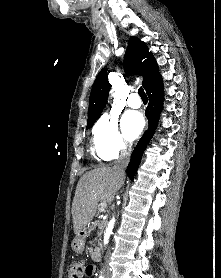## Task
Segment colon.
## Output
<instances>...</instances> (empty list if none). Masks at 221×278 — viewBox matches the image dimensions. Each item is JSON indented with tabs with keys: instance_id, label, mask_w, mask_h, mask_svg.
<instances>
[{
	"instance_id": "colon-1",
	"label": "colon",
	"mask_w": 221,
	"mask_h": 278,
	"mask_svg": "<svg viewBox=\"0 0 221 278\" xmlns=\"http://www.w3.org/2000/svg\"><path fill=\"white\" fill-rule=\"evenodd\" d=\"M91 271L90 265H84L81 262H72L66 269L67 278H84Z\"/></svg>"
}]
</instances>
